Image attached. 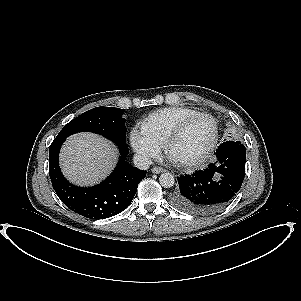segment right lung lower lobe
Wrapping results in <instances>:
<instances>
[{"mask_svg": "<svg viewBox=\"0 0 301 301\" xmlns=\"http://www.w3.org/2000/svg\"><path fill=\"white\" fill-rule=\"evenodd\" d=\"M64 137H56L49 149V175L60 200L72 211L90 218L105 219L125 210L132 202L138 183L146 172L130 166L125 160L129 149L126 143L112 140L119 147L121 159L111 175L100 184L83 188L66 181L62 175L58 154Z\"/></svg>", "mask_w": 301, "mask_h": 301, "instance_id": "1", "label": "right lung lower lobe"}]
</instances>
